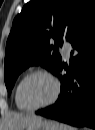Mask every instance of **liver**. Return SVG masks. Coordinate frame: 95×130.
Returning a JSON list of instances; mask_svg holds the SVG:
<instances>
[{
    "instance_id": "6515ba94",
    "label": "liver",
    "mask_w": 95,
    "mask_h": 130,
    "mask_svg": "<svg viewBox=\"0 0 95 130\" xmlns=\"http://www.w3.org/2000/svg\"><path fill=\"white\" fill-rule=\"evenodd\" d=\"M40 119L35 114H11L6 118L7 130H24L32 121Z\"/></svg>"
}]
</instances>
